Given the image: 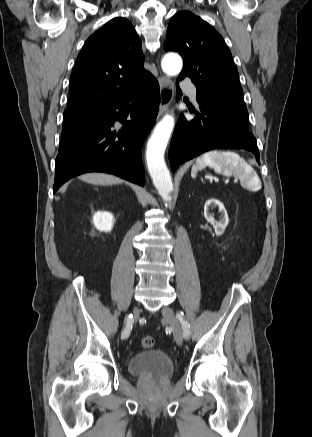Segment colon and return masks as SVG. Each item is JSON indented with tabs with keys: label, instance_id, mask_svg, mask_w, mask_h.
<instances>
[{
	"label": "colon",
	"instance_id": "obj_1",
	"mask_svg": "<svg viewBox=\"0 0 312 437\" xmlns=\"http://www.w3.org/2000/svg\"><path fill=\"white\" fill-rule=\"evenodd\" d=\"M141 345L144 348H151L154 345V339L151 336H144L141 338Z\"/></svg>",
	"mask_w": 312,
	"mask_h": 437
}]
</instances>
